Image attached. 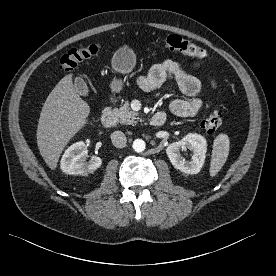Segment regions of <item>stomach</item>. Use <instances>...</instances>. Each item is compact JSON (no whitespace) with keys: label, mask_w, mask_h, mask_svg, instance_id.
<instances>
[{"label":"stomach","mask_w":276,"mask_h":276,"mask_svg":"<svg viewBox=\"0 0 276 276\" xmlns=\"http://www.w3.org/2000/svg\"><path fill=\"white\" fill-rule=\"evenodd\" d=\"M136 58L134 52L127 46L119 48L112 58V68L119 73H129L135 66ZM122 82L113 80L111 83L112 91L118 93L122 90Z\"/></svg>","instance_id":"1"}]
</instances>
